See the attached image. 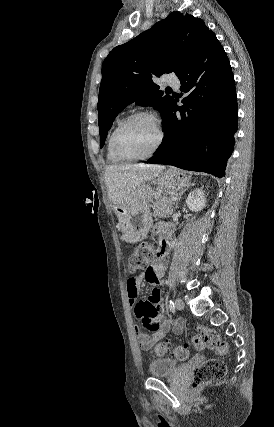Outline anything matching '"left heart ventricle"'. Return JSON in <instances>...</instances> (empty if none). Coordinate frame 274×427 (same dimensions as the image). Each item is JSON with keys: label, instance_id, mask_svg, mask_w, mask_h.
I'll return each mask as SVG.
<instances>
[{"label": "left heart ventricle", "instance_id": "b2bd125f", "mask_svg": "<svg viewBox=\"0 0 274 427\" xmlns=\"http://www.w3.org/2000/svg\"><path fill=\"white\" fill-rule=\"evenodd\" d=\"M158 139L159 130L156 124L147 118H139L121 130L118 146L125 155L143 156L156 146Z\"/></svg>", "mask_w": 274, "mask_h": 427}]
</instances>
